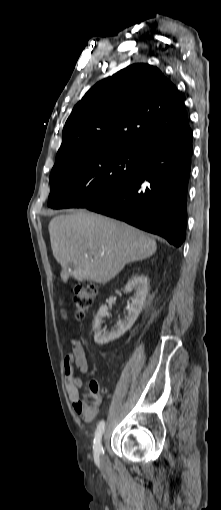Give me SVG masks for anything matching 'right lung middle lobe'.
<instances>
[{
	"label": "right lung middle lobe",
	"mask_w": 221,
	"mask_h": 510,
	"mask_svg": "<svg viewBox=\"0 0 221 510\" xmlns=\"http://www.w3.org/2000/svg\"><path fill=\"white\" fill-rule=\"evenodd\" d=\"M144 149L108 147L72 155L50 175L51 208L85 207L124 186L139 170Z\"/></svg>",
	"instance_id": "1"
}]
</instances>
